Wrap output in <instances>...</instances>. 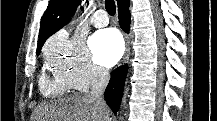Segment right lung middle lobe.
I'll list each match as a JSON object with an SVG mask.
<instances>
[{
    "mask_svg": "<svg viewBox=\"0 0 217 121\" xmlns=\"http://www.w3.org/2000/svg\"><path fill=\"white\" fill-rule=\"evenodd\" d=\"M40 51L37 52V55H39Z\"/></svg>",
    "mask_w": 217,
    "mask_h": 121,
    "instance_id": "1",
    "label": "right lung middle lobe"
}]
</instances>
